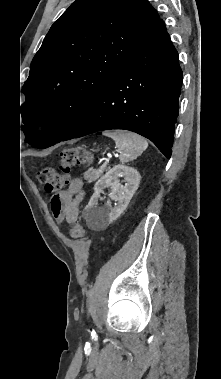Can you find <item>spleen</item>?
I'll use <instances>...</instances> for the list:
<instances>
[{"instance_id": "3e777b00", "label": "spleen", "mask_w": 221, "mask_h": 379, "mask_svg": "<svg viewBox=\"0 0 221 379\" xmlns=\"http://www.w3.org/2000/svg\"><path fill=\"white\" fill-rule=\"evenodd\" d=\"M103 134L115 141L121 163L133 161L148 147V142L142 136L132 132L117 130Z\"/></svg>"}]
</instances>
